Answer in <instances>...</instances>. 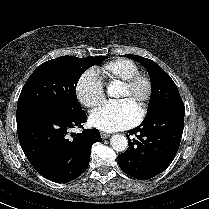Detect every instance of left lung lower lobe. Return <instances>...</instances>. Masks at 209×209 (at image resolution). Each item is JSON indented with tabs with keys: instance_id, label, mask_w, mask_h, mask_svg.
Listing matches in <instances>:
<instances>
[{
	"instance_id": "0a47b994",
	"label": "left lung lower lobe",
	"mask_w": 209,
	"mask_h": 209,
	"mask_svg": "<svg viewBox=\"0 0 209 209\" xmlns=\"http://www.w3.org/2000/svg\"><path fill=\"white\" fill-rule=\"evenodd\" d=\"M184 115L185 108L162 110L128 131L130 135L135 134L138 140H128L129 148L118 155L120 168L129 176L141 180L162 173L178 151Z\"/></svg>"
}]
</instances>
